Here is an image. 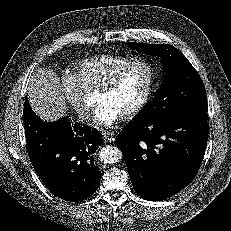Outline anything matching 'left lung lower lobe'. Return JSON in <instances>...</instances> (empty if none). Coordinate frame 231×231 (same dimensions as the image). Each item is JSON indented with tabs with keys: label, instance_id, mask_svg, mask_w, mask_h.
Returning a JSON list of instances; mask_svg holds the SVG:
<instances>
[{
	"label": "left lung lower lobe",
	"instance_id": "obj_1",
	"mask_svg": "<svg viewBox=\"0 0 231 231\" xmlns=\"http://www.w3.org/2000/svg\"><path fill=\"white\" fill-rule=\"evenodd\" d=\"M206 108L157 122L132 121L116 137L136 193L159 201L188 186L208 140Z\"/></svg>",
	"mask_w": 231,
	"mask_h": 231
}]
</instances>
